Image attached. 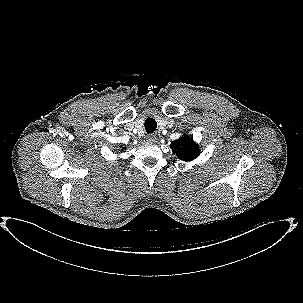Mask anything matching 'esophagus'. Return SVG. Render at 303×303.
Masks as SVG:
<instances>
[{"instance_id": "esophagus-1", "label": "esophagus", "mask_w": 303, "mask_h": 303, "mask_svg": "<svg viewBox=\"0 0 303 303\" xmlns=\"http://www.w3.org/2000/svg\"><path fill=\"white\" fill-rule=\"evenodd\" d=\"M146 139H147V141L150 142V143H155V142H157V137H156V135H154V134H149V135H147Z\"/></svg>"}]
</instances>
